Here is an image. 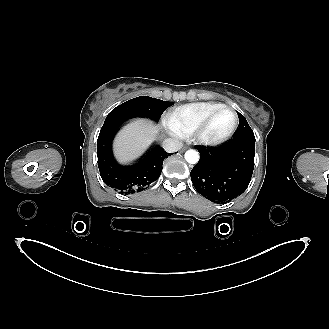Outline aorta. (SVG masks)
<instances>
[{
  "label": "aorta",
  "mask_w": 329,
  "mask_h": 329,
  "mask_svg": "<svg viewBox=\"0 0 329 329\" xmlns=\"http://www.w3.org/2000/svg\"><path fill=\"white\" fill-rule=\"evenodd\" d=\"M184 157L185 160L190 164H196L199 161V153L193 149L187 150Z\"/></svg>",
  "instance_id": "obj_1"
}]
</instances>
